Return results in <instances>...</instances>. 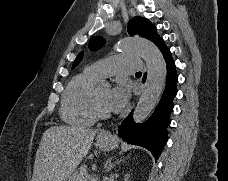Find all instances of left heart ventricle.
<instances>
[{"label": "left heart ventricle", "mask_w": 228, "mask_h": 181, "mask_svg": "<svg viewBox=\"0 0 228 181\" xmlns=\"http://www.w3.org/2000/svg\"><path fill=\"white\" fill-rule=\"evenodd\" d=\"M104 81H106L105 79H101V83H103ZM108 81V80H107ZM111 83L108 81V85L107 86H101L98 89V98L100 103L102 104V106L106 109H108V99L111 93V89H110Z\"/></svg>", "instance_id": "left-heart-ventricle-1"}]
</instances>
